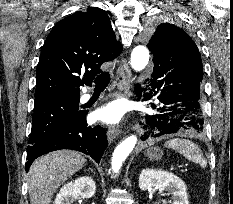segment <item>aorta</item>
<instances>
[{
  "instance_id": "762f6f07",
  "label": "aorta",
  "mask_w": 233,
  "mask_h": 204,
  "mask_svg": "<svg viewBox=\"0 0 233 204\" xmlns=\"http://www.w3.org/2000/svg\"><path fill=\"white\" fill-rule=\"evenodd\" d=\"M149 62V52L144 46H136L131 54L130 64L135 71L143 70ZM137 143L136 135H131L122 141L114 150L111 167L114 172H118L129 154Z\"/></svg>"
}]
</instances>
